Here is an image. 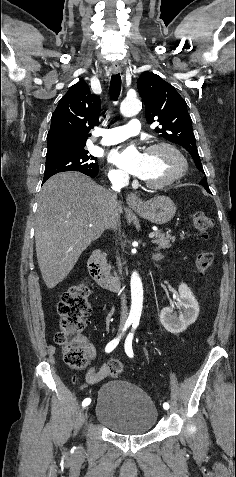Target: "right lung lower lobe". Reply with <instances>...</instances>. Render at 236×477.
<instances>
[{
    "label": "right lung lower lobe",
    "mask_w": 236,
    "mask_h": 477,
    "mask_svg": "<svg viewBox=\"0 0 236 477\" xmlns=\"http://www.w3.org/2000/svg\"><path fill=\"white\" fill-rule=\"evenodd\" d=\"M91 177V176H90ZM49 177H44L43 183L48 179Z\"/></svg>",
    "instance_id": "obj_1"
}]
</instances>
